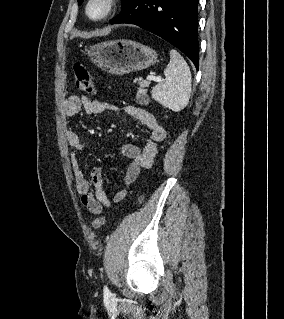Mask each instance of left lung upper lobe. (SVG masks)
<instances>
[{
    "label": "left lung upper lobe",
    "mask_w": 284,
    "mask_h": 319,
    "mask_svg": "<svg viewBox=\"0 0 284 319\" xmlns=\"http://www.w3.org/2000/svg\"><path fill=\"white\" fill-rule=\"evenodd\" d=\"M131 0H123L122 9L130 2ZM83 0H78V4L81 5Z\"/></svg>",
    "instance_id": "5c2ea615"
}]
</instances>
